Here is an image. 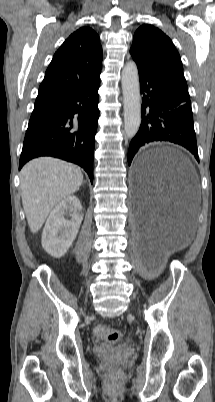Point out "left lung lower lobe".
<instances>
[{
	"label": "left lung lower lobe",
	"mask_w": 215,
	"mask_h": 402,
	"mask_svg": "<svg viewBox=\"0 0 215 402\" xmlns=\"http://www.w3.org/2000/svg\"><path fill=\"white\" fill-rule=\"evenodd\" d=\"M138 71L142 122L130 143L128 164L141 146L154 141L181 145L199 162L190 98L161 78Z\"/></svg>",
	"instance_id": "left-lung-lower-lobe-1"
}]
</instances>
